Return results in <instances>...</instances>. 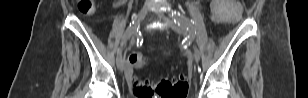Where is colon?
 I'll return each instance as SVG.
<instances>
[{
	"mask_svg": "<svg viewBox=\"0 0 308 98\" xmlns=\"http://www.w3.org/2000/svg\"><path fill=\"white\" fill-rule=\"evenodd\" d=\"M78 8L83 14H91L94 11V1L80 0ZM129 62L135 67H143L147 64V59L140 54L132 53L129 56ZM188 91V82L184 77L178 80H162L158 83L137 80L134 86V93L140 98H184Z\"/></svg>",
	"mask_w": 308,
	"mask_h": 98,
	"instance_id": "1",
	"label": "colon"
}]
</instances>
